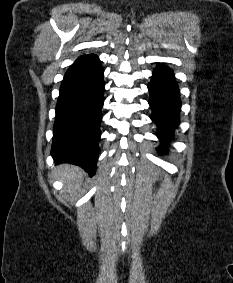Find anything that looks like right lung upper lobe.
<instances>
[{
  "instance_id": "cb5924a9",
  "label": "right lung upper lobe",
  "mask_w": 233,
  "mask_h": 283,
  "mask_svg": "<svg viewBox=\"0 0 233 283\" xmlns=\"http://www.w3.org/2000/svg\"><path fill=\"white\" fill-rule=\"evenodd\" d=\"M83 54L84 55H97L98 51L97 50H84Z\"/></svg>"
}]
</instances>
